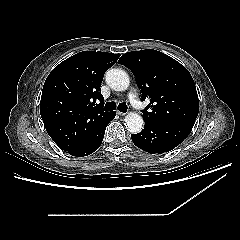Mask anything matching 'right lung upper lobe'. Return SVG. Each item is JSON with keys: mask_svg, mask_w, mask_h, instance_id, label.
Returning a JSON list of instances; mask_svg holds the SVG:
<instances>
[{"mask_svg": "<svg viewBox=\"0 0 240 240\" xmlns=\"http://www.w3.org/2000/svg\"><path fill=\"white\" fill-rule=\"evenodd\" d=\"M119 57L107 52H79L48 75L40 114L49 136L64 151L90 142L108 119L111 112L103 110L100 87L104 73Z\"/></svg>", "mask_w": 240, "mask_h": 240, "instance_id": "right-lung-upper-lobe-1", "label": "right lung upper lobe"}]
</instances>
